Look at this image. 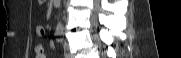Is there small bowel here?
<instances>
[{"mask_svg":"<svg viewBox=\"0 0 181 58\" xmlns=\"http://www.w3.org/2000/svg\"><path fill=\"white\" fill-rule=\"evenodd\" d=\"M35 32L37 36L42 37L45 34V29L43 26H37L35 29ZM50 47H54V43L51 41L50 42ZM34 52L36 54V58H45L44 54V47L42 44L38 43L34 46Z\"/></svg>","mask_w":181,"mask_h":58,"instance_id":"c3829d8e","label":"small bowel"}]
</instances>
